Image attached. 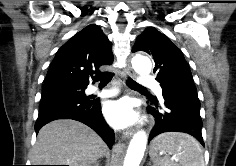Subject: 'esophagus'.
Masks as SVG:
<instances>
[{
    "mask_svg": "<svg viewBox=\"0 0 236 166\" xmlns=\"http://www.w3.org/2000/svg\"><path fill=\"white\" fill-rule=\"evenodd\" d=\"M133 75V71L130 68H126L122 73L121 76L126 78L127 76H132ZM134 134V129H127L124 133H123V137L124 138H130L132 135Z\"/></svg>",
    "mask_w": 236,
    "mask_h": 166,
    "instance_id": "1",
    "label": "esophagus"
}]
</instances>
